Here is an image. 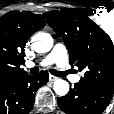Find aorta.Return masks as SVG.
<instances>
[{"mask_svg": "<svg viewBox=\"0 0 114 114\" xmlns=\"http://www.w3.org/2000/svg\"><path fill=\"white\" fill-rule=\"evenodd\" d=\"M53 47V38L48 33H37L32 38V48L38 53H45ZM54 91L59 96H64L69 91V84L67 81L58 79L53 85Z\"/></svg>", "mask_w": 114, "mask_h": 114, "instance_id": "aorta-1", "label": "aorta"}]
</instances>
